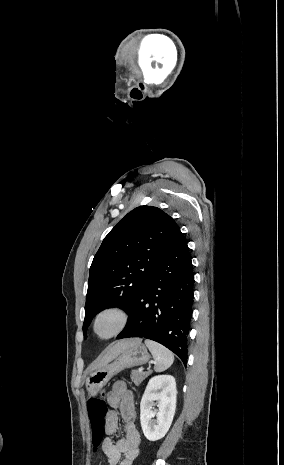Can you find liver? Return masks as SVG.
Segmentation results:
<instances>
[{
	"mask_svg": "<svg viewBox=\"0 0 284 465\" xmlns=\"http://www.w3.org/2000/svg\"><path fill=\"white\" fill-rule=\"evenodd\" d=\"M141 343V339H128V341H119V343H115L113 347H111L110 351L100 359V361H95L94 365H92V369H98V367H104V365H108L111 363L113 359H116L120 353L129 349V347H134V345H138Z\"/></svg>",
	"mask_w": 284,
	"mask_h": 465,
	"instance_id": "obj_1",
	"label": "liver"
}]
</instances>
